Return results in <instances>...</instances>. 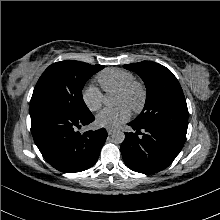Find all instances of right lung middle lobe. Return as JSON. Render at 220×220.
<instances>
[{
    "mask_svg": "<svg viewBox=\"0 0 220 220\" xmlns=\"http://www.w3.org/2000/svg\"><path fill=\"white\" fill-rule=\"evenodd\" d=\"M104 67L73 60L50 65L39 78L30 105L48 104L78 115L89 113L82 89L86 81Z\"/></svg>",
    "mask_w": 220,
    "mask_h": 220,
    "instance_id": "right-lung-middle-lobe-1",
    "label": "right lung middle lobe"
}]
</instances>
